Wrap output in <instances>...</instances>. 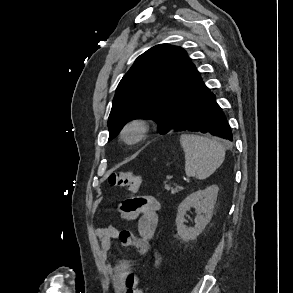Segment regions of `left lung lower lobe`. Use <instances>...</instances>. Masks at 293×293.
Returning a JSON list of instances; mask_svg holds the SVG:
<instances>
[{
	"instance_id": "obj_1",
	"label": "left lung lower lobe",
	"mask_w": 293,
	"mask_h": 293,
	"mask_svg": "<svg viewBox=\"0 0 293 293\" xmlns=\"http://www.w3.org/2000/svg\"><path fill=\"white\" fill-rule=\"evenodd\" d=\"M182 130L210 133L233 140L227 119L216 103L215 95L209 89L186 105L172 131Z\"/></svg>"
}]
</instances>
